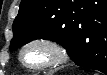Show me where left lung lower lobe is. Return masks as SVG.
Listing matches in <instances>:
<instances>
[{
    "mask_svg": "<svg viewBox=\"0 0 107 75\" xmlns=\"http://www.w3.org/2000/svg\"><path fill=\"white\" fill-rule=\"evenodd\" d=\"M97 9L86 15L81 23L79 40L86 42L88 52L70 58L76 65L107 74V0H88ZM91 39V40H90Z\"/></svg>",
    "mask_w": 107,
    "mask_h": 75,
    "instance_id": "left-lung-lower-lobe-1",
    "label": "left lung lower lobe"
}]
</instances>
